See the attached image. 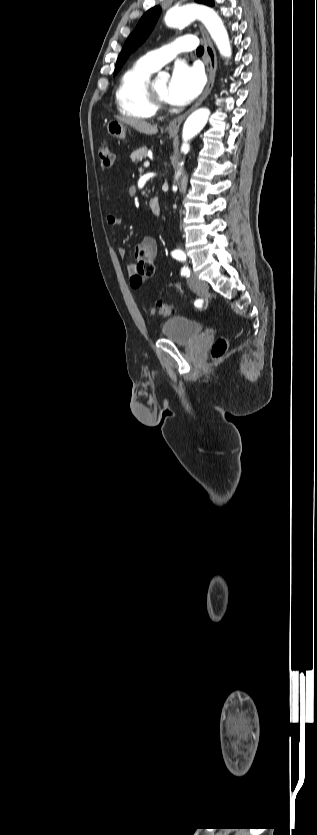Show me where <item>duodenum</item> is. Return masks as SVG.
<instances>
[{"label": "duodenum", "mask_w": 317, "mask_h": 835, "mask_svg": "<svg viewBox=\"0 0 317 835\" xmlns=\"http://www.w3.org/2000/svg\"><path fill=\"white\" fill-rule=\"evenodd\" d=\"M149 208L151 212L155 215H158L160 213V202L157 197H153L150 199Z\"/></svg>", "instance_id": "410a0bca"}]
</instances>
